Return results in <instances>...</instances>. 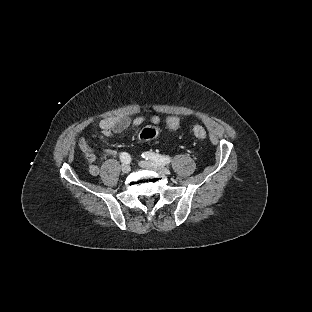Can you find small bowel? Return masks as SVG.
Listing matches in <instances>:
<instances>
[{
  "instance_id": "small-bowel-1",
  "label": "small bowel",
  "mask_w": 312,
  "mask_h": 312,
  "mask_svg": "<svg viewBox=\"0 0 312 312\" xmlns=\"http://www.w3.org/2000/svg\"><path fill=\"white\" fill-rule=\"evenodd\" d=\"M143 122L144 117L142 116L136 117L133 120L126 116L108 117L99 122V129L104 136L108 137L123 132L129 126L139 127ZM151 123L153 125H159V116H152ZM78 147L86 160L88 172L93 176H97L100 173V167L96 162V155L90 147L88 140L81 138L78 142ZM105 152L111 156L116 155V151L113 149H106Z\"/></svg>"
}]
</instances>
